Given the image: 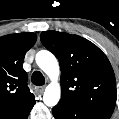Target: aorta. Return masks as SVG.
Instances as JSON below:
<instances>
[{"mask_svg":"<svg viewBox=\"0 0 119 119\" xmlns=\"http://www.w3.org/2000/svg\"><path fill=\"white\" fill-rule=\"evenodd\" d=\"M36 63L52 80L45 89L43 102L45 105L53 107L59 102L61 96L60 84L57 82L60 73L58 61L51 52L41 50L36 54Z\"/></svg>","mask_w":119,"mask_h":119,"instance_id":"1","label":"aorta"}]
</instances>
